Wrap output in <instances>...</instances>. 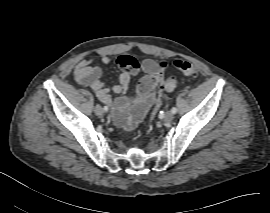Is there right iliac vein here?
I'll list each match as a JSON object with an SVG mask.
<instances>
[{"label":"right iliac vein","mask_w":270,"mask_h":213,"mask_svg":"<svg viewBox=\"0 0 270 213\" xmlns=\"http://www.w3.org/2000/svg\"><path fill=\"white\" fill-rule=\"evenodd\" d=\"M94 111L97 115H101L102 114V108L100 105H96L94 108Z\"/></svg>","instance_id":"right-iliac-vein-1"}]
</instances>
